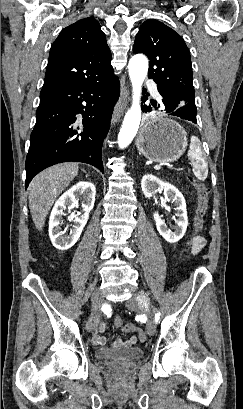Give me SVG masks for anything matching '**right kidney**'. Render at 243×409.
Listing matches in <instances>:
<instances>
[{
    "label": "right kidney",
    "mask_w": 243,
    "mask_h": 409,
    "mask_svg": "<svg viewBox=\"0 0 243 409\" xmlns=\"http://www.w3.org/2000/svg\"><path fill=\"white\" fill-rule=\"evenodd\" d=\"M95 195L96 189L94 184L82 181L67 190L56 201L49 219V236L55 248L65 251L77 242L89 219V213L94 207ZM79 198L82 199L84 214L79 217L75 216L73 229L68 235H63L64 232L61 229L63 225V210L73 209L78 204Z\"/></svg>",
    "instance_id": "obj_1"
}]
</instances>
